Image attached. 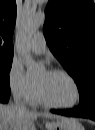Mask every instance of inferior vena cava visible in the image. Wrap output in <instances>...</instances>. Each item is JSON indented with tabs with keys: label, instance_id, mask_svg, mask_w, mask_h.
<instances>
[{
	"label": "inferior vena cava",
	"instance_id": "1",
	"mask_svg": "<svg viewBox=\"0 0 95 130\" xmlns=\"http://www.w3.org/2000/svg\"><path fill=\"white\" fill-rule=\"evenodd\" d=\"M14 106L19 111H26V107L20 103V97L17 94L14 95Z\"/></svg>",
	"mask_w": 95,
	"mask_h": 130
}]
</instances>
